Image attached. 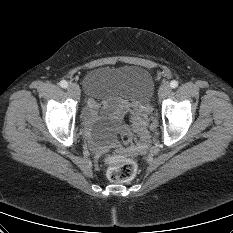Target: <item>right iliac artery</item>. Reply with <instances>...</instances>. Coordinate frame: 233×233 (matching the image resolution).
Wrapping results in <instances>:
<instances>
[{"instance_id": "82829eb1", "label": "right iliac artery", "mask_w": 233, "mask_h": 233, "mask_svg": "<svg viewBox=\"0 0 233 233\" xmlns=\"http://www.w3.org/2000/svg\"><path fill=\"white\" fill-rule=\"evenodd\" d=\"M60 86L62 87V88H67V86H68V83H67V81H65V80H62V81H60Z\"/></svg>"}]
</instances>
